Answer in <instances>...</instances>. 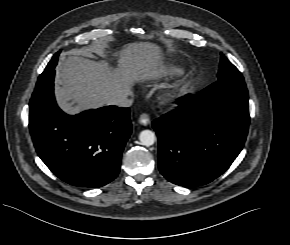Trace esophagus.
<instances>
[{
    "label": "esophagus",
    "instance_id": "obj_1",
    "mask_svg": "<svg viewBox=\"0 0 290 245\" xmlns=\"http://www.w3.org/2000/svg\"><path fill=\"white\" fill-rule=\"evenodd\" d=\"M139 123L144 125V126H147L148 124H150V117L147 113H142L139 117Z\"/></svg>",
    "mask_w": 290,
    "mask_h": 245
}]
</instances>
